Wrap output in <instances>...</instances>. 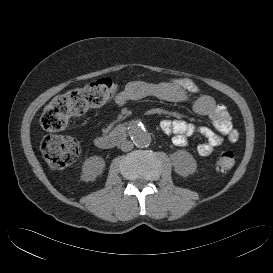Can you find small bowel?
Segmentation results:
<instances>
[{
  "label": "small bowel",
  "instance_id": "obj_1",
  "mask_svg": "<svg viewBox=\"0 0 273 273\" xmlns=\"http://www.w3.org/2000/svg\"><path fill=\"white\" fill-rule=\"evenodd\" d=\"M146 97L189 104L197 114L208 117L212 122L216 131L184 120H163L160 124L162 131L173 135L172 141L177 147H185L189 137L200 135L205 141L198 145L197 151L201 156H209L224 143L225 138L231 143L238 141V133L232 127L225 106L217 104L209 95L199 94L198 86L188 78H174L159 83L132 80L117 95L115 103L121 106L128 101Z\"/></svg>",
  "mask_w": 273,
  "mask_h": 273
}]
</instances>
